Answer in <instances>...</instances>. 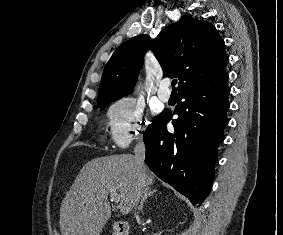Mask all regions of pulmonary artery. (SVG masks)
<instances>
[{
    "mask_svg": "<svg viewBox=\"0 0 283 235\" xmlns=\"http://www.w3.org/2000/svg\"><path fill=\"white\" fill-rule=\"evenodd\" d=\"M169 86V81L164 79L159 84V89L157 91V95L159 99L163 102H168L171 98V92L167 89Z\"/></svg>",
    "mask_w": 283,
    "mask_h": 235,
    "instance_id": "pulmonary-artery-1",
    "label": "pulmonary artery"
}]
</instances>
